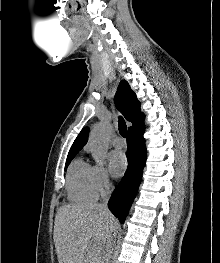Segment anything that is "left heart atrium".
Listing matches in <instances>:
<instances>
[{
    "mask_svg": "<svg viewBox=\"0 0 220 263\" xmlns=\"http://www.w3.org/2000/svg\"><path fill=\"white\" fill-rule=\"evenodd\" d=\"M109 165L114 176H121L127 168L126 156L119 150L111 152L109 155Z\"/></svg>",
    "mask_w": 220,
    "mask_h": 263,
    "instance_id": "left-heart-atrium-1",
    "label": "left heart atrium"
}]
</instances>
